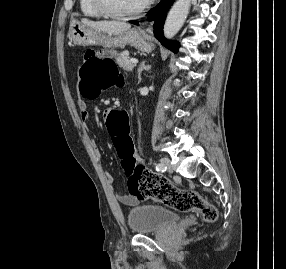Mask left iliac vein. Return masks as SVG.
<instances>
[{
    "label": "left iliac vein",
    "instance_id": "1",
    "mask_svg": "<svg viewBox=\"0 0 286 269\" xmlns=\"http://www.w3.org/2000/svg\"><path fill=\"white\" fill-rule=\"evenodd\" d=\"M161 164H163L164 166H166V170L171 173L173 171L172 166H171V162L170 159L167 157H164L161 159Z\"/></svg>",
    "mask_w": 286,
    "mask_h": 269
}]
</instances>
